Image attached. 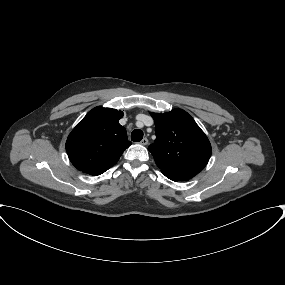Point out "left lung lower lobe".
I'll use <instances>...</instances> for the list:
<instances>
[{"label":"left lung lower lobe","mask_w":285,"mask_h":285,"mask_svg":"<svg viewBox=\"0 0 285 285\" xmlns=\"http://www.w3.org/2000/svg\"><path fill=\"white\" fill-rule=\"evenodd\" d=\"M169 179H171L172 181H184L183 179H177V178H171V177H168ZM187 181V180H185Z\"/></svg>","instance_id":"obj_1"}]
</instances>
